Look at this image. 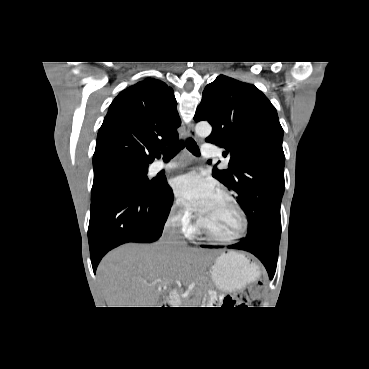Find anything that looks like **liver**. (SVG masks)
I'll return each instance as SVG.
<instances>
[{
    "mask_svg": "<svg viewBox=\"0 0 369 369\" xmlns=\"http://www.w3.org/2000/svg\"><path fill=\"white\" fill-rule=\"evenodd\" d=\"M209 254L163 241L125 244L108 253L97 270L108 307H156L159 287L173 281H196Z\"/></svg>",
    "mask_w": 369,
    "mask_h": 369,
    "instance_id": "liver-1",
    "label": "liver"
}]
</instances>
